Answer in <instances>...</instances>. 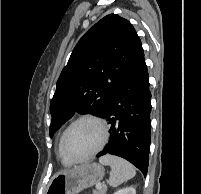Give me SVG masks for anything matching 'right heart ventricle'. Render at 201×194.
I'll use <instances>...</instances> for the list:
<instances>
[{
	"instance_id": "right-heart-ventricle-1",
	"label": "right heart ventricle",
	"mask_w": 201,
	"mask_h": 194,
	"mask_svg": "<svg viewBox=\"0 0 201 194\" xmlns=\"http://www.w3.org/2000/svg\"><path fill=\"white\" fill-rule=\"evenodd\" d=\"M59 145H60V139H59V142H58V155H59V157H60V160H61L62 164L65 165V166H70V165H72V164H73L72 162L68 161L67 159H65V158L62 156V154H61V152H60V147H59Z\"/></svg>"
}]
</instances>
